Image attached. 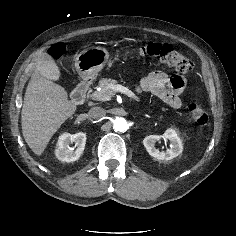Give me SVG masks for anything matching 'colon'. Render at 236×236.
<instances>
[{
    "instance_id": "colon-1",
    "label": "colon",
    "mask_w": 236,
    "mask_h": 236,
    "mask_svg": "<svg viewBox=\"0 0 236 236\" xmlns=\"http://www.w3.org/2000/svg\"><path fill=\"white\" fill-rule=\"evenodd\" d=\"M50 53L55 58H59L64 53V47L57 45L51 48ZM142 58L150 62H160L173 67L178 73L185 74L193 69L192 61L177 52L171 45L162 43H149L139 48ZM188 111L192 119L201 126L209 121V114L206 108L199 103H190Z\"/></svg>"
}]
</instances>
